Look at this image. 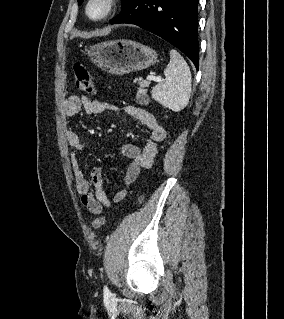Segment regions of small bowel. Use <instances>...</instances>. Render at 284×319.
<instances>
[{
  "instance_id": "obj_1",
  "label": "small bowel",
  "mask_w": 284,
  "mask_h": 319,
  "mask_svg": "<svg viewBox=\"0 0 284 319\" xmlns=\"http://www.w3.org/2000/svg\"><path fill=\"white\" fill-rule=\"evenodd\" d=\"M82 110L88 115H99L107 110H118V108L101 100H92L86 96L76 95L69 96L63 103V114L66 118H72ZM122 110L144 125L149 137L143 147L134 144L121 145L120 150L129 159V163L122 180L123 188L118 189L112 199L108 198L102 187L100 168H93L88 178L84 175L78 156V153L84 149V145L71 127L66 130L68 145L75 150L71 161L76 190L81 195L82 205L96 215L100 214L104 207H110L112 203H118L125 198L127 187L134 183L141 169L152 165L157 154L158 144L166 136L165 129L150 112L134 106H125Z\"/></svg>"
}]
</instances>
